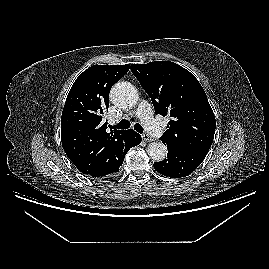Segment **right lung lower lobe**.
I'll return each instance as SVG.
<instances>
[{
    "label": "right lung lower lobe",
    "instance_id": "98d812e1",
    "mask_svg": "<svg viewBox=\"0 0 269 269\" xmlns=\"http://www.w3.org/2000/svg\"><path fill=\"white\" fill-rule=\"evenodd\" d=\"M140 142H141L140 134L133 131L132 129L126 130L124 132V137L122 138V143L120 145V158H119L118 163L113 168V173L108 175V176L100 177V178H110V177L114 176L119 171V167L122 165V163L124 161V157H125L126 153L128 152V150L131 147L140 144Z\"/></svg>",
    "mask_w": 269,
    "mask_h": 269
}]
</instances>
